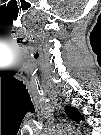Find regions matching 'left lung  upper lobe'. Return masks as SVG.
<instances>
[{
	"label": "left lung upper lobe",
	"mask_w": 101,
	"mask_h": 135,
	"mask_svg": "<svg viewBox=\"0 0 101 135\" xmlns=\"http://www.w3.org/2000/svg\"><path fill=\"white\" fill-rule=\"evenodd\" d=\"M65 111H66V113L68 114V116L71 119H73L75 121L82 120V116H81V114L79 113V111L76 108H74V107H66Z\"/></svg>",
	"instance_id": "obj_1"
}]
</instances>
